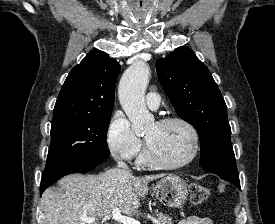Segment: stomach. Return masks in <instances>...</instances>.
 Masks as SVG:
<instances>
[{
	"mask_svg": "<svg viewBox=\"0 0 275 224\" xmlns=\"http://www.w3.org/2000/svg\"><path fill=\"white\" fill-rule=\"evenodd\" d=\"M157 199L166 207H181L187 200V183L176 175H168L152 186Z\"/></svg>",
	"mask_w": 275,
	"mask_h": 224,
	"instance_id": "stomach-1",
	"label": "stomach"
}]
</instances>
